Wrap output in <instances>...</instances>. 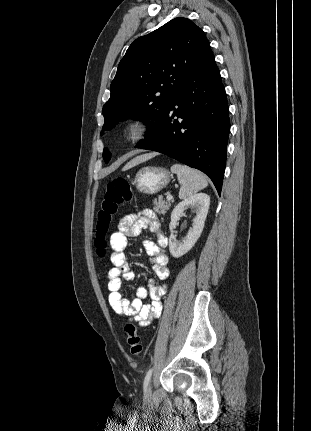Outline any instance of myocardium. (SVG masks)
I'll return each mask as SVG.
<instances>
[{
	"label": "myocardium",
	"mask_w": 311,
	"mask_h": 431,
	"mask_svg": "<svg viewBox=\"0 0 311 431\" xmlns=\"http://www.w3.org/2000/svg\"><path fill=\"white\" fill-rule=\"evenodd\" d=\"M135 126L138 132L134 135L125 133L128 127ZM156 131L155 121L144 114H133L122 119L118 125L119 137L127 144H138L152 137Z\"/></svg>",
	"instance_id": "1"
}]
</instances>
